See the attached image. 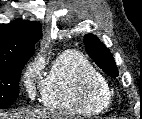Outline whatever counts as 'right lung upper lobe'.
<instances>
[{
  "label": "right lung upper lobe",
  "instance_id": "right-lung-upper-lobe-1",
  "mask_svg": "<svg viewBox=\"0 0 142 119\" xmlns=\"http://www.w3.org/2000/svg\"><path fill=\"white\" fill-rule=\"evenodd\" d=\"M41 28L40 23L24 20L0 24V63L30 58L42 37Z\"/></svg>",
  "mask_w": 142,
  "mask_h": 119
}]
</instances>
